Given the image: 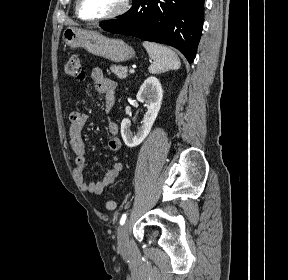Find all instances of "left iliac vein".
Wrapping results in <instances>:
<instances>
[{"label": "left iliac vein", "mask_w": 288, "mask_h": 280, "mask_svg": "<svg viewBox=\"0 0 288 280\" xmlns=\"http://www.w3.org/2000/svg\"><path fill=\"white\" fill-rule=\"evenodd\" d=\"M128 227H129V219H127L124 224H122L117 231V240H118V247L120 249H126L129 244L128 238Z\"/></svg>", "instance_id": "1"}]
</instances>
